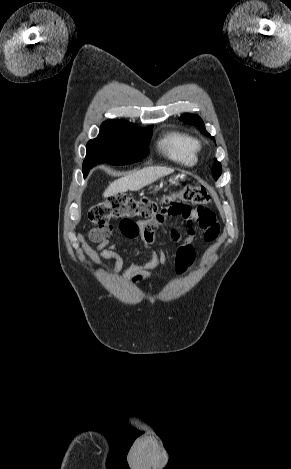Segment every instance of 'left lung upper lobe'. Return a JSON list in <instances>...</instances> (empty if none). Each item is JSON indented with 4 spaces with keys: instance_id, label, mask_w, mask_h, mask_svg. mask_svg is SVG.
<instances>
[{
    "instance_id": "5c2ea615",
    "label": "left lung upper lobe",
    "mask_w": 291,
    "mask_h": 469,
    "mask_svg": "<svg viewBox=\"0 0 291 469\" xmlns=\"http://www.w3.org/2000/svg\"><path fill=\"white\" fill-rule=\"evenodd\" d=\"M180 119L187 124L195 125L205 136L211 137L213 140L215 139L206 131L204 123L199 116L193 114H183ZM221 172V164L215 159L214 166L212 168V173L215 180L218 179V177L221 175Z\"/></svg>"
}]
</instances>
